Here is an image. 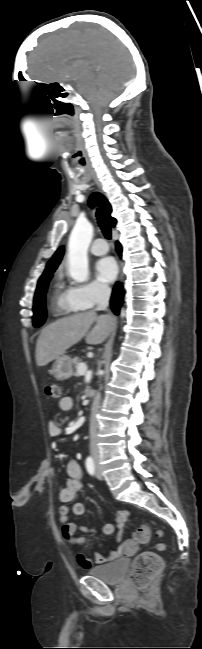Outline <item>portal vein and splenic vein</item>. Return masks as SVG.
Listing matches in <instances>:
<instances>
[{"instance_id":"1","label":"portal vein and splenic vein","mask_w":202,"mask_h":649,"mask_svg":"<svg viewBox=\"0 0 202 649\" xmlns=\"http://www.w3.org/2000/svg\"><path fill=\"white\" fill-rule=\"evenodd\" d=\"M78 372H79L80 375H85L86 372H87V367H86V365L83 364V363L79 364V366H78Z\"/></svg>"}]
</instances>
